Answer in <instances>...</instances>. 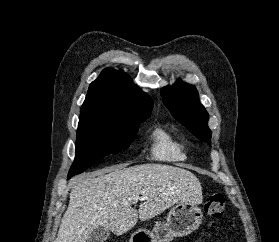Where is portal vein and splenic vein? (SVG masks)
<instances>
[{"label":"portal vein and splenic vein","instance_id":"18ae733b","mask_svg":"<svg viewBox=\"0 0 279 242\" xmlns=\"http://www.w3.org/2000/svg\"><path fill=\"white\" fill-rule=\"evenodd\" d=\"M146 199V196H136L135 198H134V201H138V200H145Z\"/></svg>","mask_w":279,"mask_h":242}]
</instances>
